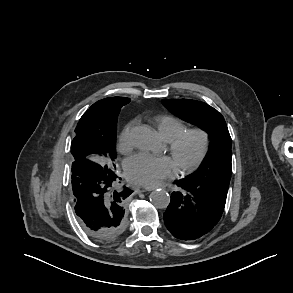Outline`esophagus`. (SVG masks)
Here are the masks:
<instances>
[{
    "mask_svg": "<svg viewBox=\"0 0 293 293\" xmlns=\"http://www.w3.org/2000/svg\"><path fill=\"white\" fill-rule=\"evenodd\" d=\"M154 189H155V187H140L137 189V192L140 193V192H145V191H152Z\"/></svg>",
    "mask_w": 293,
    "mask_h": 293,
    "instance_id": "1",
    "label": "esophagus"
}]
</instances>
